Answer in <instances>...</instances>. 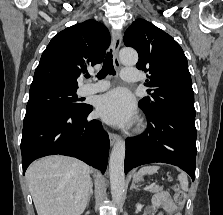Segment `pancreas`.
Returning a JSON list of instances; mask_svg holds the SVG:
<instances>
[{"label": "pancreas", "mask_w": 223, "mask_h": 215, "mask_svg": "<svg viewBox=\"0 0 223 215\" xmlns=\"http://www.w3.org/2000/svg\"><path fill=\"white\" fill-rule=\"evenodd\" d=\"M148 191H162V187H152V189Z\"/></svg>", "instance_id": "pancreas-1"}]
</instances>
